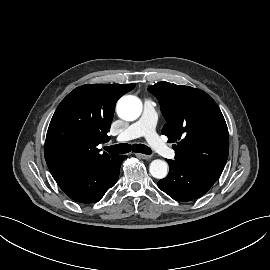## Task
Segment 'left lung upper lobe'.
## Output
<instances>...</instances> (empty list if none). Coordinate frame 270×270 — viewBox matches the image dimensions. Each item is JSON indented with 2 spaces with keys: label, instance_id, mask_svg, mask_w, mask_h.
<instances>
[{
  "label": "left lung upper lobe",
  "instance_id": "1",
  "mask_svg": "<svg viewBox=\"0 0 270 270\" xmlns=\"http://www.w3.org/2000/svg\"><path fill=\"white\" fill-rule=\"evenodd\" d=\"M159 100L167 123L162 134L173 145L175 160L222 173L229 153V134L216 102L204 91L160 82L149 88Z\"/></svg>",
  "mask_w": 270,
  "mask_h": 270
}]
</instances>
